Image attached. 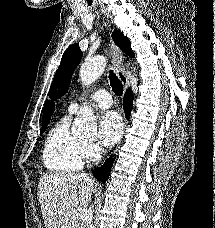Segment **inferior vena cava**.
<instances>
[{
	"mask_svg": "<svg viewBox=\"0 0 215 228\" xmlns=\"http://www.w3.org/2000/svg\"><path fill=\"white\" fill-rule=\"evenodd\" d=\"M91 214H92V210H90V216H91ZM89 224H91V222H89ZM88 228H89V226H88Z\"/></svg>",
	"mask_w": 215,
	"mask_h": 228,
	"instance_id": "602c4592",
	"label": "inferior vena cava"
}]
</instances>
